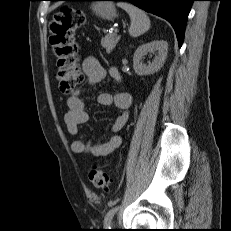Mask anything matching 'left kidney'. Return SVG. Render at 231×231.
<instances>
[{
	"label": "left kidney",
	"instance_id": "1",
	"mask_svg": "<svg viewBox=\"0 0 231 231\" xmlns=\"http://www.w3.org/2000/svg\"><path fill=\"white\" fill-rule=\"evenodd\" d=\"M157 51L152 62L143 63V58L149 52ZM168 52V43L163 40H155L143 44L137 48L133 57V67L138 75H149L157 72L163 66Z\"/></svg>",
	"mask_w": 231,
	"mask_h": 231
}]
</instances>
